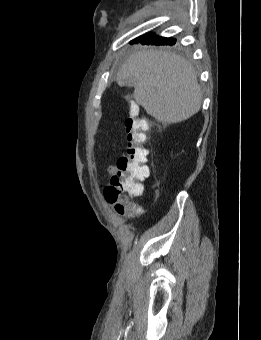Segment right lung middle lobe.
<instances>
[{
    "instance_id": "right-lung-middle-lobe-1",
    "label": "right lung middle lobe",
    "mask_w": 261,
    "mask_h": 340,
    "mask_svg": "<svg viewBox=\"0 0 261 340\" xmlns=\"http://www.w3.org/2000/svg\"><path fill=\"white\" fill-rule=\"evenodd\" d=\"M176 40L173 39V38H170V40L168 41V45H172V44H175Z\"/></svg>"
}]
</instances>
